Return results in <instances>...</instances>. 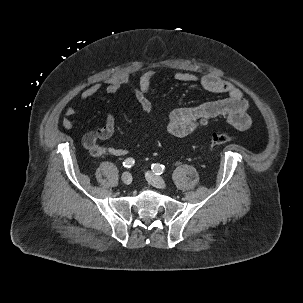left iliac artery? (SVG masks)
Here are the masks:
<instances>
[{
	"instance_id": "44dca946",
	"label": "left iliac artery",
	"mask_w": 303,
	"mask_h": 303,
	"mask_svg": "<svg viewBox=\"0 0 303 303\" xmlns=\"http://www.w3.org/2000/svg\"><path fill=\"white\" fill-rule=\"evenodd\" d=\"M151 169L153 170V172L156 175H160L164 172L165 166L155 163V164H152Z\"/></svg>"
}]
</instances>
